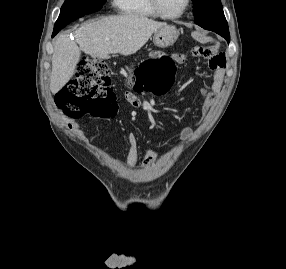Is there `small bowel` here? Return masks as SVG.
<instances>
[{
  "mask_svg": "<svg viewBox=\"0 0 286 269\" xmlns=\"http://www.w3.org/2000/svg\"><path fill=\"white\" fill-rule=\"evenodd\" d=\"M195 47L191 50V55L196 58L205 59L208 61L209 67L213 70V80L210 88H204L202 90L203 104L201 109L202 117L206 116L212 109L214 104V99L216 95L221 91L224 77H225V67H226V56L223 53H219L216 50V46L213 44L211 46H206L202 51L195 52ZM174 59L176 63L183 64L185 62V56L183 54H175ZM126 93L130 92L129 88L125 89ZM126 99H137V94H126ZM142 105L141 101H130V106H135L136 110L140 109ZM148 120H153V115L147 116ZM155 123L159 122L158 118L154 119ZM191 128L186 127L182 130V135L184 138H189L191 135ZM127 142L129 145L126 163L130 169L136 167L139 159L138 150V137L135 133H129L127 135ZM158 156V152L154 148H150L144 155L143 163L146 167L151 166Z\"/></svg>",
  "mask_w": 286,
  "mask_h": 269,
  "instance_id": "obj_1",
  "label": "small bowel"
}]
</instances>
